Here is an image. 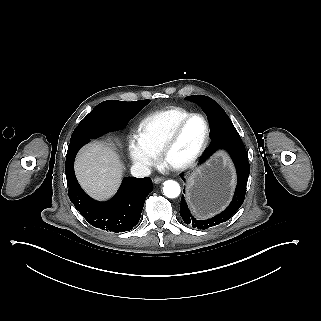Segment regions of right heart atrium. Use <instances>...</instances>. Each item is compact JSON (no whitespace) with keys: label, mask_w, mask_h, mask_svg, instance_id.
<instances>
[{"label":"right heart atrium","mask_w":321,"mask_h":321,"mask_svg":"<svg viewBox=\"0 0 321 321\" xmlns=\"http://www.w3.org/2000/svg\"><path fill=\"white\" fill-rule=\"evenodd\" d=\"M129 154L135 167L143 174H149L156 165L158 154L135 132L129 139Z\"/></svg>","instance_id":"1"}]
</instances>
